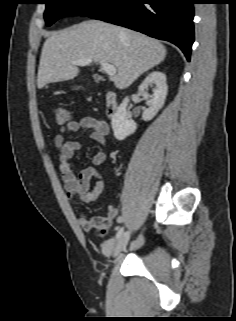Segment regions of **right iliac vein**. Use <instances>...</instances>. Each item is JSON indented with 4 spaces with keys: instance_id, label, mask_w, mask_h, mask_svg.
Segmentation results:
<instances>
[{
    "instance_id": "63e3f726",
    "label": "right iliac vein",
    "mask_w": 236,
    "mask_h": 321,
    "mask_svg": "<svg viewBox=\"0 0 236 321\" xmlns=\"http://www.w3.org/2000/svg\"><path fill=\"white\" fill-rule=\"evenodd\" d=\"M130 239V232L127 231L123 233L117 240L115 247L113 249V256L116 257L120 254V252L127 246L128 241Z\"/></svg>"
}]
</instances>
